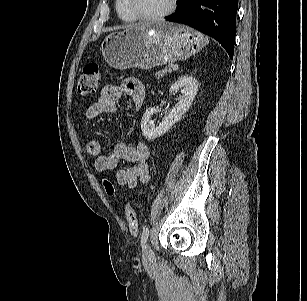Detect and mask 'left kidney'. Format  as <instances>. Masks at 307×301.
Wrapping results in <instances>:
<instances>
[{"label": "left kidney", "mask_w": 307, "mask_h": 301, "mask_svg": "<svg viewBox=\"0 0 307 301\" xmlns=\"http://www.w3.org/2000/svg\"><path fill=\"white\" fill-rule=\"evenodd\" d=\"M198 81L190 75L181 76L173 83L169 92H181L178 103L171 110L170 114L165 116L161 123L155 126L151 120L156 112L154 107H149L141 120V130L148 140H154L165 134L181 117L186 113L194 100L198 91Z\"/></svg>", "instance_id": "1"}]
</instances>
